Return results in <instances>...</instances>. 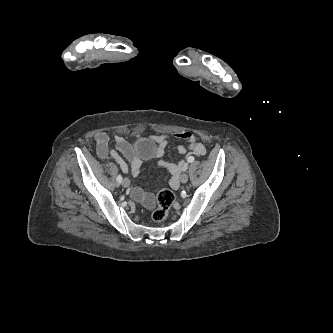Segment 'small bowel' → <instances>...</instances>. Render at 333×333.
Returning <instances> with one entry per match:
<instances>
[{
	"label": "small bowel",
	"instance_id": "small-bowel-1",
	"mask_svg": "<svg viewBox=\"0 0 333 333\" xmlns=\"http://www.w3.org/2000/svg\"><path fill=\"white\" fill-rule=\"evenodd\" d=\"M181 140L188 143L187 146H177V152L185 155V160H181L177 164L167 163L164 160H159L158 165L165 167L171 173L172 177L170 180V186L177 188L178 178L180 173L185 167H188V160L194 156H202L206 153L205 146L199 141L198 137L190 132H182L176 135ZM154 141L157 143V150L155 153L156 158H161L166 148L169 145L170 137L166 135H154ZM109 136L105 132H98L95 135L96 152L101 159H114L120 166L124 173L129 171L133 176L137 177L141 173L142 159L135 151L134 146L129 143L125 138L116 136L114 138L115 148L109 147ZM124 155L127 162L121 157ZM132 197L146 206H152L154 203V196L151 193H145L141 188L136 187L131 192Z\"/></svg>",
	"mask_w": 333,
	"mask_h": 333
}]
</instances>
